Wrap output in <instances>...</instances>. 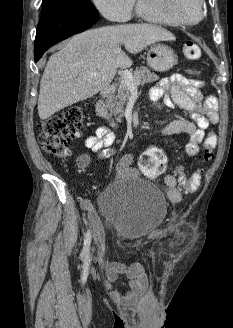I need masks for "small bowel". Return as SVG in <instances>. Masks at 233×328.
Instances as JSON below:
<instances>
[{"instance_id": "c3829d8e", "label": "small bowel", "mask_w": 233, "mask_h": 328, "mask_svg": "<svg viewBox=\"0 0 233 328\" xmlns=\"http://www.w3.org/2000/svg\"><path fill=\"white\" fill-rule=\"evenodd\" d=\"M203 84L200 80L182 74H173L155 85L149 93L151 100L162 99L167 107H178L188 116L171 121L163 128L162 133L165 136L185 134L184 148L189 157L199 154L200 144L207 136L206 129L219 121L218 102L213 96H202L200 89ZM114 140V134L106 126H99L93 135L86 138L85 145L93 152L103 154L111 147ZM133 164L134 156L124 155L117 165L118 177L122 179L139 177L141 172ZM164 183L168 199L178 203L181 200V192L177 188L176 177L168 174L164 178ZM81 205L88 212L93 226L98 229L99 222L90 202L82 200ZM121 276L127 278L128 291L126 292L117 288ZM105 286L113 300L122 304H131L146 294L148 278L143 266L138 262L130 265L111 263L106 270Z\"/></svg>"}]
</instances>
